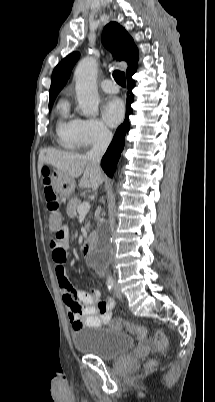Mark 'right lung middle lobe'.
Masks as SVG:
<instances>
[{
  "label": "right lung middle lobe",
  "instance_id": "right-lung-middle-lobe-1",
  "mask_svg": "<svg viewBox=\"0 0 215 402\" xmlns=\"http://www.w3.org/2000/svg\"><path fill=\"white\" fill-rule=\"evenodd\" d=\"M54 100H55V98H50L49 99V109H51Z\"/></svg>",
  "mask_w": 215,
  "mask_h": 402
}]
</instances>
